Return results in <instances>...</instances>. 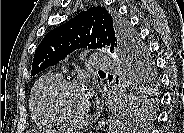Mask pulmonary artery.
Segmentation results:
<instances>
[{"mask_svg": "<svg viewBox=\"0 0 184 133\" xmlns=\"http://www.w3.org/2000/svg\"><path fill=\"white\" fill-rule=\"evenodd\" d=\"M90 63L96 70H110L114 67L112 59L101 54L92 55L90 57Z\"/></svg>", "mask_w": 184, "mask_h": 133, "instance_id": "1", "label": "pulmonary artery"}]
</instances>
